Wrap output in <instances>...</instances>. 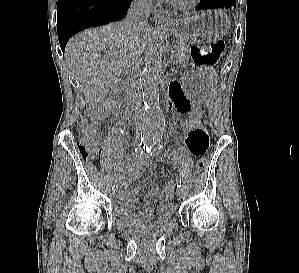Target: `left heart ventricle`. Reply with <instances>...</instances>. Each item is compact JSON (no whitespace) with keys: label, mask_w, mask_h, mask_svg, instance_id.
Wrapping results in <instances>:
<instances>
[{"label":"left heart ventricle","mask_w":299,"mask_h":273,"mask_svg":"<svg viewBox=\"0 0 299 273\" xmlns=\"http://www.w3.org/2000/svg\"><path fill=\"white\" fill-rule=\"evenodd\" d=\"M175 1L180 2V3H185V2H187L189 0H175Z\"/></svg>","instance_id":"left-heart-ventricle-1"}]
</instances>
